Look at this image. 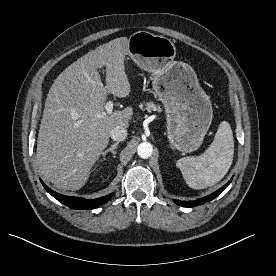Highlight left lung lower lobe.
<instances>
[{
	"label": "left lung lower lobe",
	"instance_id": "obj_1",
	"mask_svg": "<svg viewBox=\"0 0 276 276\" xmlns=\"http://www.w3.org/2000/svg\"><path fill=\"white\" fill-rule=\"evenodd\" d=\"M232 180V179H231ZM231 180L226 183L223 187H221L219 190L215 191L214 193L202 198V199H199V200H195V201H180V200H177L175 201L178 205H181V206H186V207H194V206H197V205H201V204H204L205 202H208V201H211L213 200L215 197H217L231 182Z\"/></svg>",
	"mask_w": 276,
	"mask_h": 276
}]
</instances>
